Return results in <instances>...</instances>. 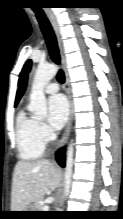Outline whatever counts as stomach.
<instances>
[{"label":"stomach","instance_id":"obj_1","mask_svg":"<svg viewBox=\"0 0 123 219\" xmlns=\"http://www.w3.org/2000/svg\"><path fill=\"white\" fill-rule=\"evenodd\" d=\"M24 211H35V208H34V206L33 205H30V206H28V208L27 209H25ZM23 216H30V215H32L31 214V212H26V213H24V214H22Z\"/></svg>","mask_w":123,"mask_h":219}]
</instances>
